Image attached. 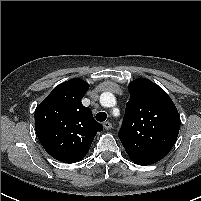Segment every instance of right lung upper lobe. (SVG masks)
<instances>
[{
    "instance_id": "right-lung-upper-lobe-1",
    "label": "right lung upper lobe",
    "mask_w": 201,
    "mask_h": 201,
    "mask_svg": "<svg viewBox=\"0 0 201 201\" xmlns=\"http://www.w3.org/2000/svg\"><path fill=\"white\" fill-rule=\"evenodd\" d=\"M89 84L75 78L59 84L35 110V130L44 149L64 163L82 160L103 126L81 103Z\"/></svg>"
}]
</instances>
